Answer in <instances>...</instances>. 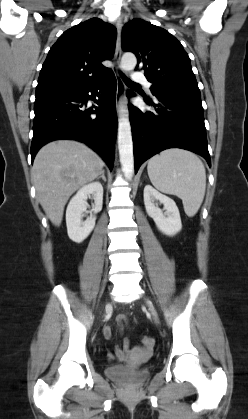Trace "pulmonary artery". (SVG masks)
<instances>
[{
	"label": "pulmonary artery",
	"instance_id": "pulmonary-artery-1",
	"mask_svg": "<svg viewBox=\"0 0 248 419\" xmlns=\"http://www.w3.org/2000/svg\"><path fill=\"white\" fill-rule=\"evenodd\" d=\"M133 80L135 82L141 83L145 85L146 87H150L151 83L146 79L143 73H140L138 70H135L133 73Z\"/></svg>",
	"mask_w": 248,
	"mask_h": 419
}]
</instances>
